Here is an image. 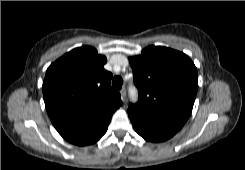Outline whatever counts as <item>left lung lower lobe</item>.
<instances>
[{"mask_svg":"<svg viewBox=\"0 0 245 170\" xmlns=\"http://www.w3.org/2000/svg\"><path fill=\"white\" fill-rule=\"evenodd\" d=\"M128 115L135 131L147 141L162 142L171 138L180 130L129 111Z\"/></svg>","mask_w":245,"mask_h":170,"instance_id":"obj_1","label":"left lung lower lobe"}]
</instances>
